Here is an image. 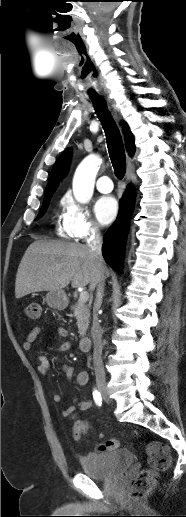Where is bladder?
Listing matches in <instances>:
<instances>
[{"instance_id": "obj_1", "label": "bladder", "mask_w": 186, "mask_h": 517, "mask_svg": "<svg viewBox=\"0 0 186 517\" xmlns=\"http://www.w3.org/2000/svg\"><path fill=\"white\" fill-rule=\"evenodd\" d=\"M129 449L120 448L109 453L91 452L80 457L83 472L93 479H112L121 475L132 463Z\"/></svg>"}]
</instances>
